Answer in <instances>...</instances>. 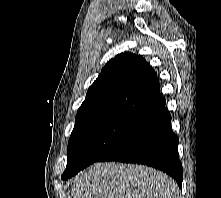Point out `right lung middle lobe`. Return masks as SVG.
Instances as JSON below:
<instances>
[{
    "mask_svg": "<svg viewBox=\"0 0 221 198\" xmlns=\"http://www.w3.org/2000/svg\"><path fill=\"white\" fill-rule=\"evenodd\" d=\"M142 121L106 118L90 122L71 133L67 150V166L61 176L67 180L129 137Z\"/></svg>",
    "mask_w": 221,
    "mask_h": 198,
    "instance_id": "obj_1",
    "label": "right lung middle lobe"
}]
</instances>
